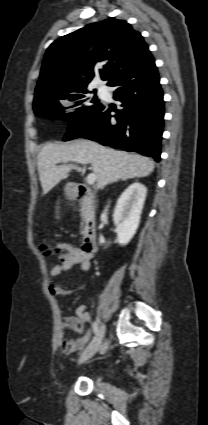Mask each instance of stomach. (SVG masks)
<instances>
[{"label":"stomach","mask_w":208,"mask_h":425,"mask_svg":"<svg viewBox=\"0 0 208 425\" xmlns=\"http://www.w3.org/2000/svg\"><path fill=\"white\" fill-rule=\"evenodd\" d=\"M72 187H73V185H72V184H68V185L66 186V192H67V194H68L69 196H73V195H74V191H73Z\"/></svg>","instance_id":"1"}]
</instances>
